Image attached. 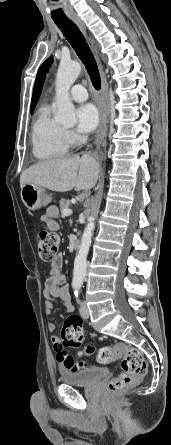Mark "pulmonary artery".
<instances>
[{"instance_id":"pulmonary-artery-1","label":"pulmonary artery","mask_w":171,"mask_h":445,"mask_svg":"<svg viewBox=\"0 0 171 445\" xmlns=\"http://www.w3.org/2000/svg\"><path fill=\"white\" fill-rule=\"evenodd\" d=\"M70 95L72 99L76 102H83L87 100L88 94L84 86L74 85L70 90Z\"/></svg>"}]
</instances>
